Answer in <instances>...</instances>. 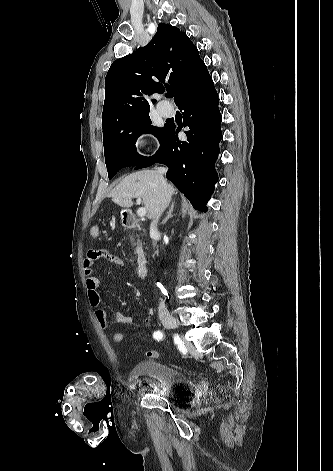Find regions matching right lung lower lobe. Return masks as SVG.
I'll return each mask as SVG.
<instances>
[{
    "mask_svg": "<svg viewBox=\"0 0 333 471\" xmlns=\"http://www.w3.org/2000/svg\"><path fill=\"white\" fill-rule=\"evenodd\" d=\"M183 110L186 141L178 139V129L169 124L155 155L144 158L135 169L154 163L169 166L166 177L190 200L195 209L206 212V202L218 181L215 161L222 139L218 94L208 71L199 78L177 103Z\"/></svg>",
    "mask_w": 333,
    "mask_h": 471,
    "instance_id": "1",
    "label": "right lung lower lobe"
}]
</instances>
